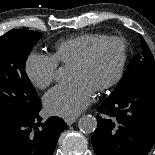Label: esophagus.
<instances>
[{
  "instance_id": "34e87169",
  "label": "esophagus",
  "mask_w": 155,
  "mask_h": 155,
  "mask_svg": "<svg viewBox=\"0 0 155 155\" xmlns=\"http://www.w3.org/2000/svg\"><path fill=\"white\" fill-rule=\"evenodd\" d=\"M76 121V118H65L67 125H72Z\"/></svg>"
}]
</instances>
